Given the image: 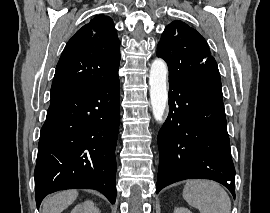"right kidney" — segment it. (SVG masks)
<instances>
[{"label":"right kidney","instance_id":"right-kidney-1","mask_svg":"<svg viewBox=\"0 0 270 213\" xmlns=\"http://www.w3.org/2000/svg\"><path fill=\"white\" fill-rule=\"evenodd\" d=\"M71 213H100L98 208L94 205L93 201L87 200L76 205Z\"/></svg>","mask_w":270,"mask_h":213}]
</instances>
